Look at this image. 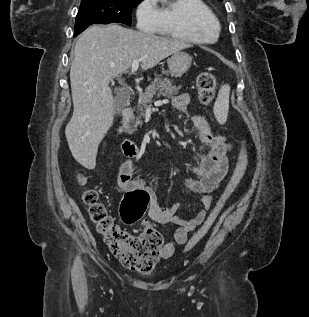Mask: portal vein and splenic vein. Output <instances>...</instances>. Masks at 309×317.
I'll return each mask as SVG.
<instances>
[{
	"mask_svg": "<svg viewBox=\"0 0 309 317\" xmlns=\"http://www.w3.org/2000/svg\"><path fill=\"white\" fill-rule=\"evenodd\" d=\"M140 62H141V59H135L132 61V64H131L132 72H134L138 69Z\"/></svg>",
	"mask_w": 309,
	"mask_h": 317,
	"instance_id": "1",
	"label": "portal vein and splenic vein"
}]
</instances>
